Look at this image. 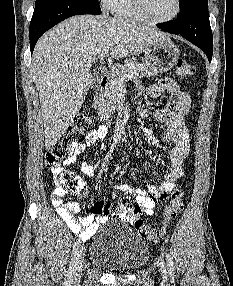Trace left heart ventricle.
<instances>
[{
    "mask_svg": "<svg viewBox=\"0 0 233 286\" xmlns=\"http://www.w3.org/2000/svg\"><path fill=\"white\" fill-rule=\"evenodd\" d=\"M147 13L154 19L169 17L175 10V0H144Z\"/></svg>",
    "mask_w": 233,
    "mask_h": 286,
    "instance_id": "1",
    "label": "left heart ventricle"
}]
</instances>
